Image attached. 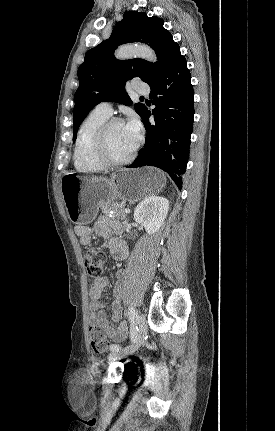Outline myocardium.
<instances>
[{
    "label": "myocardium",
    "mask_w": 275,
    "mask_h": 431,
    "mask_svg": "<svg viewBox=\"0 0 275 431\" xmlns=\"http://www.w3.org/2000/svg\"><path fill=\"white\" fill-rule=\"evenodd\" d=\"M123 120L117 117L107 119L99 128L96 133L94 144H93V153L95 158L107 168H117L130 164L136 155V147L132 150L131 154L122 159L115 160L113 159L107 149V138L110 129L117 124H122Z\"/></svg>",
    "instance_id": "f54148a6"
}]
</instances>
